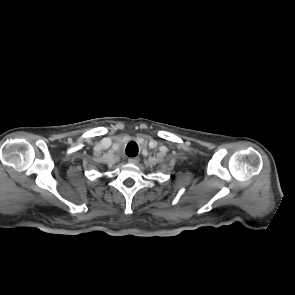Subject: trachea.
<instances>
[{
  "label": "trachea",
  "instance_id": "1",
  "mask_svg": "<svg viewBox=\"0 0 295 295\" xmlns=\"http://www.w3.org/2000/svg\"><path fill=\"white\" fill-rule=\"evenodd\" d=\"M126 155L129 157H135L138 154V145L135 142H130L126 146Z\"/></svg>",
  "mask_w": 295,
  "mask_h": 295
}]
</instances>
